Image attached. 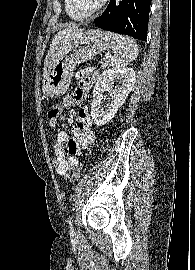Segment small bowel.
Returning <instances> with one entry per match:
<instances>
[{"instance_id": "c3829d8e", "label": "small bowel", "mask_w": 195, "mask_h": 270, "mask_svg": "<svg viewBox=\"0 0 195 270\" xmlns=\"http://www.w3.org/2000/svg\"><path fill=\"white\" fill-rule=\"evenodd\" d=\"M97 78L95 69H87L80 73L77 88L73 95L66 96L62 103L67 107L80 104L88 95V92ZM65 121L73 125V136L69 137L65 131H59L54 145L53 164L60 176L68 174L78 165V156L82 151L95 140V133L92 129V119L86 107L77 111H71ZM58 119H49V126L55 129L58 126ZM67 144V155L64 145Z\"/></svg>"}]
</instances>
